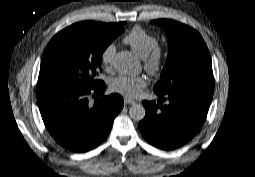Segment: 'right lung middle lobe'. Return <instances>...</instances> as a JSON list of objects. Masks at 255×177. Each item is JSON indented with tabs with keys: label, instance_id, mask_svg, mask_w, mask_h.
Instances as JSON below:
<instances>
[{
	"label": "right lung middle lobe",
	"instance_id": "obj_1",
	"mask_svg": "<svg viewBox=\"0 0 255 177\" xmlns=\"http://www.w3.org/2000/svg\"><path fill=\"white\" fill-rule=\"evenodd\" d=\"M125 22L116 29L84 22L69 26L56 34L47 45L40 67L37 89L62 86L91 89L101 81L95 79L103 52L123 32Z\"/></svg>",
	"mask_w": 255,
	"mask_h": 177
}]
</instances>
